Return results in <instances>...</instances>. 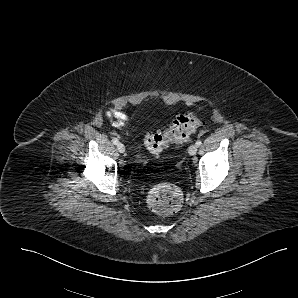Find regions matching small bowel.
I'll use <instances>...</instances> for the list:
<instances>
[{
    "mask_svg": "<svg viewBox=\"0 0 298 298\" xmlns=\"http://www.w3.org/2000/svg\"><path fill=\"white\" fill-rule=\"evenodd\" d=\"M107 116L116 126H123L127 121V115L123 111H120L118 109L111 110L107 113Z\"/></svg>",
    "mask_w": 298,
    "mask_h": 298,
    "instance_id": "small-bowel-1",
    "label": "small bowel"
}]
</instances>
